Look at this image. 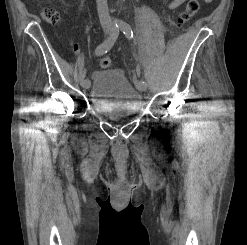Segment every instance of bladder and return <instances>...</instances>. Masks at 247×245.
I'll use <instances>...</instances> for the list:
<instances>
[{
    "mask_svg": "<svg viewBox=\"0 0 247 245\" xmlns=\"http://www.w3.org/2000/svg\"><path fill=\"white\" fill-rule=\"evenodd\" d=\"M89 98L95 111L106 117L132 115L141 108V96L120 69L93 73Z\"/></svg>",
    "mask_w": 247,
    "mask_h": 245,
    "instance_id": "1",
    "label": "bladder"
}]
</instances>
